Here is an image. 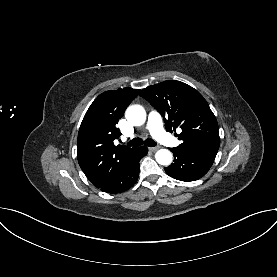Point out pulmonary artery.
<instances>
[{
    "label": "pulmonary artery",
    "instance_id": "e3ab8cb5",
    "mask_svg": "<svg viewBox=\"0 0 277 277\" xmlns=\"http://www.w3.org/2000/svg\"><path fill=\"white\" fill-rule=\"evenodd\" d=\"M147 128L151 135L159 142L167 146H178L179 141L166 133L162 127L161 117L157 112H150L148 115Z\"/></svg>",
    "mask_w": 277,
    "mask_h": 277
}]
</instances>
